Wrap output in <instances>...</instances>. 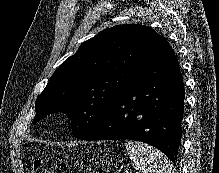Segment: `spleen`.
<instances>
[{
  "mask_svg": "<svg viewBox=\"0 0 219 173\" xmlns=\"http://www.w3.org/2000/svg\"><path fill=\"white\" fill-rule=\"evenodd\" d=\"M124 146L133 167L141 173H175L173 164L159 150L136 141H126Z\"/></svg>",
  "mask_w": 219,
  "mask_h": 173,
  "instance_id": "obj_1",
  "label": "spleen"
}]
</instances>
